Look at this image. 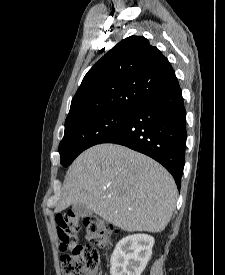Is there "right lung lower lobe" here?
Here are the masks:
<instances>
[{"mask_svg":"<svg viewBox=\"0 0 225 275\" xmlns=\"http://www.w3.org/2000/svg\"><path fill=\"white\" fill-rule=\"evenodd\" d=\"M186 136V112L178 87L139 104L98 144H120L150 156L172 174L180 189Z\"/></svg>","mask_w":225,"mask_h":275,"instance_id":"98d812e1","label":"right lung lower lobe"}]
</instances>
